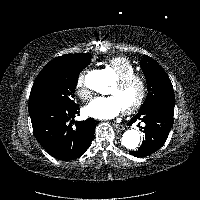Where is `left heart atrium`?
Listing matches in <instances>:
<instances>
[{"label": "left heart atrium", "mask_w": 200, "mask_h": 200, "mask_svg": "<svg viewBox=\"0 0 200 200\" xmlns=\"http://www.w3.org/2000/svg\"><path fill=\"white\" fill-rule=\"evenodd\" d=\"M85 113L97 119H112L118 116L124 109L116 96L97 97L86 107Z\"/></svg>", "instance_id": "left-heart-atrium-1"}]
</instances>
